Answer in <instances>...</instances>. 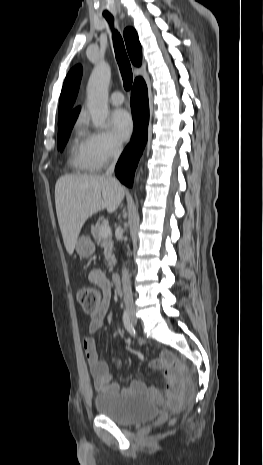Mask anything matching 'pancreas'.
<instances>
[{
  "label": "pancreas",
  "mask_w": 263,
  "mask_h": 465,
  "mask_svg": "<svg viewBox=\"0 0 263 465\" xmlns=\"http://www.w3.org/2000/svg\"><path fill=\"white\" fill-rule=\"evenodd\" d=\"M103 226V223L97 222L95 225L91 226V233L96 243L104 248L105 258L108 262L109 269L112 270L116 263L115 255L113 254L112 236L102 237L100 235V230Z\"/></svg>",
  "instance_id": "1"
}]
</instances>
